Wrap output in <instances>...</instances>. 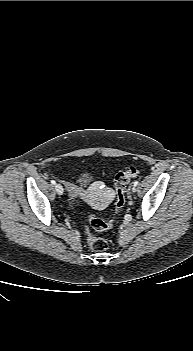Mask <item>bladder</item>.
I'll return each mask as SVG.
<instances>
[{"label": "bladder", "mask_w": 193, "mask_h": 351, "mask_svg": "<svg viewBox=\"0 0 193 351\" xmlns=\"http://www.w3.org/2000/svg\"><path fill=\"white\" fill-rule=\"evenodd\" d=\"M91 182V178L88 177L87 175H82L79 177L78 179V186L80 189H83L85 187H87ZM78 201V196L74 195L70 198V202L72 205L76 204Z\"/></svg>", "instance_id": "bladder-1"}]
</instances>
